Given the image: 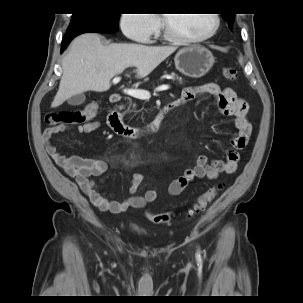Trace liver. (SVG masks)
<instances>
[{
	"instance_id": "liver-1",
	"label": "liver",
	"mask_w": 303,
	"mask_h": 303,
	"mask_svg": "<svg viewBox=\"0 0 303 303\" xmlns=\"http://www.w3.org/2000/svg\"><path fill=\"white\" fill-rule=\"evenodd\" d=\"M175 50L173 46L135 43L104 45L102 36L82 34L74 39L63 57V75L51 106L58 107L72 96L86 91H107L110 80L130 66L136 67L138 78L146 77Z\"/></svg>"
}]
</instances>
